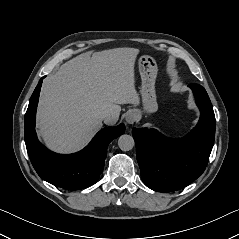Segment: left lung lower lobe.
Listing matches in <instances>:
<instances>
[{
	"label": "left lung lower lobe",
	"instance_id": "1",
	"mask_svg": "<svg viewBox=\"0 0 239 239\" xmlns=\"http://www.w3.org/2000/svg\"><path fill=\"white\" fill-rule=\"evenodd\" d=\"M201 111L197 126L184 138L171 139L155 129L133 128L136 157L144 184L158 192L184 188L197 179L209 161L216 120L206 90L190 84Z\"/></svg>",
	"mask_w": 239,
	"mask_h": 239
}]
</instances>
